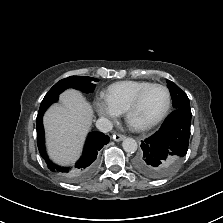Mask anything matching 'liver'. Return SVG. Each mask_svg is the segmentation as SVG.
I'll use <instances>...</instances> for the list:
<instances>
[{"label": "liver", "instance_id": "liver-1", "mask_svg": "<svg viewBox=\"0 0 223 223\" xmlns=\"http://www.w3.org/2000/svg\"><path fill=\"white\" fill-rule=\"evenodd\" d=\"M61 104L51 106L44 115L46 143L50 157L61 165L75 162L90 130L94 112L83 95L68 89Z\"/></svg>", "mask_w": 223, "mask_h": 223}]
</instances>
